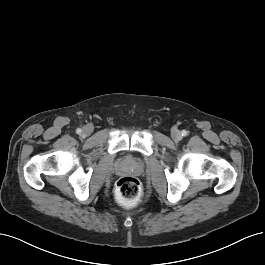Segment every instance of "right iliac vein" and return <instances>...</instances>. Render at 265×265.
<instances>
[{
	"instance_id": "1",
	"label": "right iliac vein",
	"mask_w": 265,
	"mask_h": 265,
	"mask_svg": "<svg viewBox=\"0 0 265 265\" xmlns=\"http://www.w3.org/2000/svg\"><path fill=\"white\" fill-rule=\"evenodd\" d=\"M92 130H93V128H92L91 125H86L82 129V134L85 135V136H88V135H90L92 133Z\"/></svg>"
}]
</instances>
